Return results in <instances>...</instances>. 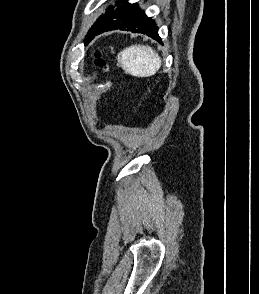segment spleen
Segmentation results:
<instances>
[{
	"mask_svg": "<svg viewBox=\"0 0 259 294\" xmlns=\"http://www.w3.org/2000/svg\"><path fill=\"white\" fill-rule=\"evenodd\" d=\"M117 61L128 74L135 77H150L161 67V58L150 46L132 45L122 50Z\"/></svg>",
	"mask_w": 259,
	"mask_h": 294,
	"instance_id": "3e777b00",
	"label": "spleen"
}]
</instances>
